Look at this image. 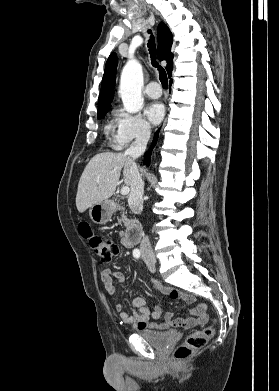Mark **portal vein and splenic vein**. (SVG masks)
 <instances>
[{"label":"portal vein and splenic vein","instance_id":"18ae733b","mask_svg":"<svg viewBox=\"0 0 279 391\" xmlns=\"http://www.w3.org/2000/svg\"><path fill=\"white\" fill-rule=\"evenodd\" d=\"M97 182H99V180H97ZM129 191H130V189H129L128 186H123V187L121 188V194H122V195H127V194L129 193Z\"/></svg>","mask_w":279,"mask_h":391}]
</instances>
